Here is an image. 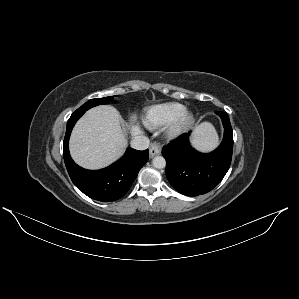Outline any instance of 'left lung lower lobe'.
<instances>
[{
    "label": "left lung lower lobe",
    "instance_id": "left-lung-lower-lobe-1",
    "mask_svg": "<svg viewBox=\"0 0 299 299\" xmlns=\"http://www.w3.org/2000/svg\"><path fill=\"white\" fill-rule=\"evenodd\" d=\"M222 119L224 138L211 153H200L189 144V134L171 141L162 149L166 159V177L181 194L198 196L217 186L227 173L233 151V133L228 115L216 112Z\"/></svg>",
    "mask_w": 299,
    "mask_h": 299
}]
</instances>
